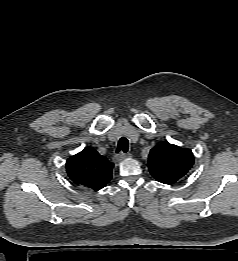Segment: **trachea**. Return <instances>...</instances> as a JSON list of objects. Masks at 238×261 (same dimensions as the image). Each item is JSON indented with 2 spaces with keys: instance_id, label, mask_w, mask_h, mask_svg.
<instances>
[{
  "instance_id": "obj_1",
  "label": "trachea",
  "mask_w": 238,
  "mask_h": 261,
  "mask_svg": "<svg viewBox=\"0 0 238 261\" xmlns=\"http://www.w3.org/2000/svg\"><path fill=\"white\" fill-rule=\"evenodd\" d=\"M128 148H129L128 139L125 137L120 138L117 146V153L120 151L126 153L128 151Z\"/></svg>"
}]
</instances>
